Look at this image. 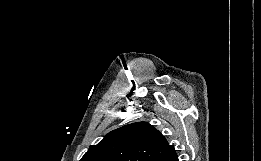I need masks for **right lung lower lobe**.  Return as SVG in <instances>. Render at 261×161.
<instances>
[{
	"instance_id": "1",
	"label": "right lung lower lobe",
	"mask_w": 261,
	"mask_h": 161,
	"mask_svg": "<svg viewBox=\"0 0 261 161\" xmlns=\"http://www.w3.org/2000/svg\"><path fill=\"white\" fill-rule=\"evenodd\" d=\"M163 161H179V160H178V157H177V155H176V154H174V155H172V156H170V157L166 158V159H165V160H163Z\"/></svg>"
}]
</instances>
